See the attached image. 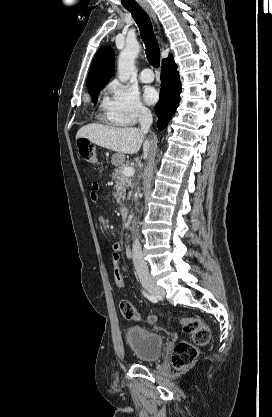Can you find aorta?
Segmentation results:
<instances>
[{
    "label": "aorta",
    "instance_id": "762f6f07",
    "mask_svg": "<svg viewBox=\"0 0 272 417\" xmlns=\"http://www.w3.org/2000/svg\"><path fill=\"white\" fill-rule=\"evenodd\" d=\"M140 52L138 42H127L118 57V78L121 82L129 80L135 69V59Z\"/></svg>",
    "mask_w": 272,
    "mask_h": 417
}]
</instances>
